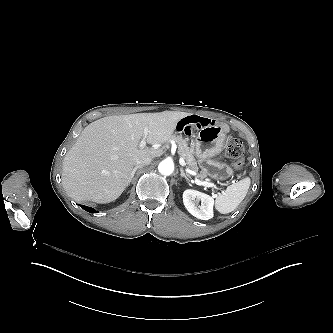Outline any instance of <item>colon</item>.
Segmentation results:
<instances>
[{"instance_id": "1", "label": "colon", "mask_w": 333, "mask_h": 333, "mask_svg": "<svg viewBox=\"0 0 333 333\" xmlns=\"http://www.w3.org/2000/svg\"><path fill=\"white\" fill-rule=\"evenodd\" d=\"M226 155L228 158L234 160L238 166L242 164V157L244 155V146L238 139L231 140L226 147Z\"/></svg>"}]
</instances>
